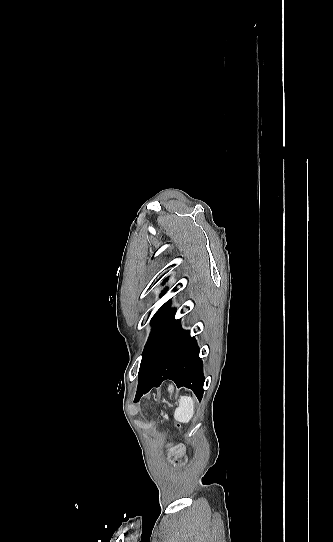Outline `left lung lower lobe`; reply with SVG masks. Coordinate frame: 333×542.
Wrapping results in <instances>:
<instances>
[{
	"instance_id": "left-lung-lower-lobe-1",
	"label": "left lung lower lobe",
	"mask_w": 333,
	"mask_h": 542,
	"mask_svg": "<svg viewBox=\"0 0 333 542\" xmlns=\"http://www.w3.org/2000/svg\"><path fill=\"white\" fill-rule=\"evenodd\" d=\"M170 379L177 387L185 386L201 400L203 396V364L196 340L180 326L174 315L157 332L143 356L135 401L152 387Z\"/></svg>"
}]
</instances>
